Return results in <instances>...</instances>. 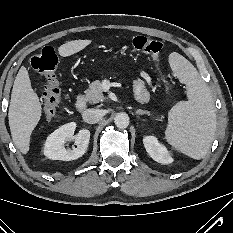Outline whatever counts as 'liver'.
Masks as SVG:
<instances>
[{
  "label": "liver",
  "instance_id": "1",
  "mask_svg": "<svg viewBox=\"0 0 233 233\" xmlns=\"http://www.w3.org/2000/svg\"><path fill=\"white\" fill-rule=\"evenodd\" d=\"M91 40L69 41L58 48L62 57L71 56L91 44ZM42 116V105L31 87L25 66H22L14 81L8 112L9 126L15 146L23 153L30 150L31 134Z\"/></svg>",
  "mask_w": 233,
  "mask_h": 233
}]
</instances>
